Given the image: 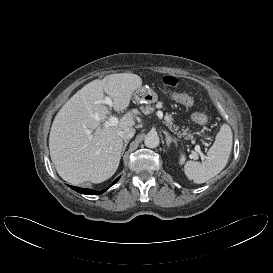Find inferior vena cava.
I'll use <instances>...</instances> for the list:
<instances>
[{
    "label": "inferior vena cava",
    "mask_w": 273,
    "mask_h": 273,
    "mask_svg": "<svg viewBox=\"0 0 273 273\" xmlns=\"http://www.w3.org/2000/svg\"><path fill=\"white\" fill-rule=\"evenodd\" d=\"M135 134L134 128H125L119 132V136L123 138L124 140L131 139Z\"/></svg>",
    "instance_id": "602c4592"
}]
</instances>
